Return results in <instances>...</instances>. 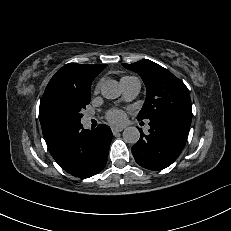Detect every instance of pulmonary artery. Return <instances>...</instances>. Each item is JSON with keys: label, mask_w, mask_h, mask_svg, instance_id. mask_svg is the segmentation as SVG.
I'll return each instance as SVG.
<instances>
[{"label": "pulmonary artery", "mask_w": 231, "mask_h": 231, "mask_svg": "<svg viewBox=\"0 0 231 231\" xmlns=\"http://www.w3.org/2000/svg\"><path fill=\"white\" fill-rule=\"evenodd\" d=\"M123 94L126 100L134 99L140 92L141 82L136 77H123L120 81ZM91 117H87L86 121L90 122Z\"/></svg>", "instance_id": "1"}]
</instances>
